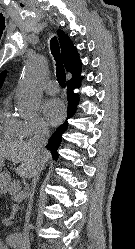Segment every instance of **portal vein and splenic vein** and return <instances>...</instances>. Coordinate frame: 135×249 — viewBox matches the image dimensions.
Returning <instances> with one entry per match:
<instances>
[{
	"mask_svg": "<svg viewBox=\"0 0 135 249\" xmlns=\"http://www.w3.org/2000/svg\"><path fill=\"white\" fill-rule=\"evenodd\" d=\"M25 193L21 192L18 194V196L15 198V201L19 202L24 198Z\"/></svg>",
	"mask_w": 135,
	"mask_h": 249,
	"instance_id": "1",
	"label": "portal vein and splenic vein"
}]
</instances>
